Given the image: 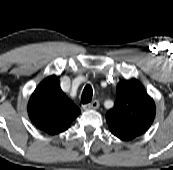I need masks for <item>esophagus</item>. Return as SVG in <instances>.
I'll return each mask as SVG.
<instances>
[{"label": "esophagus", "mask_w": 173, "mask_h": 170, "mask_svg": "<svg viewBox=\"0 0 173 170\" xmlns=\"http://www.w3.org/2000/svg\"><path fill=\"white\" fill-rule=\"evenodd\" d=\"M100 106L99 102L97 100H93L91 103L89 104H85L83 105V109L84 110H96L98 109Z\"/></svg>", "instance_id": "1"}]
</instances>
